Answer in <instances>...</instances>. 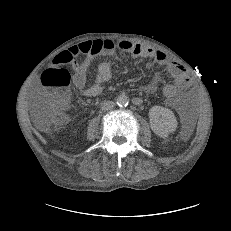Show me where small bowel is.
Returning <instances> with one entry per match:
<instances>
[{
	"label": "small bowel",
	"mask_w": 231,
	"mask_h": 231,
	"mask_svg": "<svg viewBox=\"0 0 231 231\" xmlns=\"http://www.w3.org/2000/svg\"><path fill=\"white\" fill-rule=\"evenodd\" d=\"M118 47L133 57L150 58L157 64L164 66L174 78V84L178 87V89H185L190 85V77L187 70L180 63L170 60L167 54L163 51L133 43L129 40H121L118 43ZM115 50L116 44L109 39L83 42L62 52L61 64H67L72 67L73 84L78 89L83 90L84 96L95 97L102 92L104 86L110 80L112 76L111 66L108 61H101L97 68L95 83L86 87L88 71L96 59L100 57L111 58L114 56ZM81 55L83 56L82 61H76L75 58ZM155 89L156 84L151 83L145 86L144 90L147 93H152ZM165 103L168 106L176 107L178 105V99H168L165 96Z\"/></svg>",
	"instance_id": "obj_1"
}]
</instances>
